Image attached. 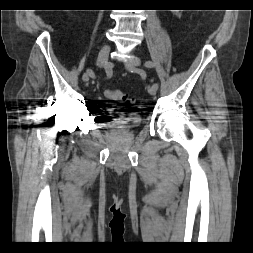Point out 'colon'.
<instances>
[{
  "label": "colon",
  "mask_w": 253,
  "mask_h": 253,
  "mask_svg": "<svg viewBox=\"0 0 253 253\" xmlns=\"http://www.w3.org/2000/svg\"><path fill=\"white\" fill-rule=\"evenodd\" d=\"M106 96L113 100V101H117V102H128L130 101V99L128 98V96L121 92V91H117V90H108L106 91Z\"/></svg>",
  "instance_id": "1"
}]
</instances>
